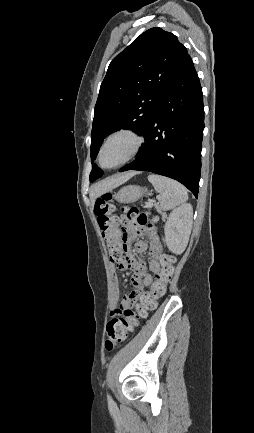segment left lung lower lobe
I'll return each instance as SVG.
<instances>
[{
    "mask_svg": "<svg viewBox=\"0 0 254 433\" xmlns=\"http://www.w3.org/2000/svg\"><path fill=\"white\" fill-rule=\"evenodd\" d=\"M203 129L202 88L187 54L143 134L145 144L138 157L119 171H150L167 176L197 197Z\"/></svg>",
    "mask_w": 254,
    "mask_h": 433,
    "instance_id": "0a47b994",
    "label": "left lung lower lobe"
}]
</instances>
